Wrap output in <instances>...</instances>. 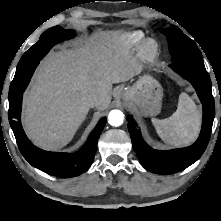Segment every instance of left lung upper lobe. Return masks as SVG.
Instances as JSON below:
<instances>
[{
	"instance_id": "1",
	"label": "left lung upper lobe",
	"mask_w": 221,
	"mask_h": 221,
	"mask_svg": "<svg viewBox=\"0 0 221 221\" xmlns=\"http://www.w3.org/2000/svg\"><path fill=\"white\" fill-rule=\"evenodd\" d=\"M160 31L167 38L172 62H182L205 68L199 48L178 27L173 26Z\"/></svg>"
}]
</instances>
